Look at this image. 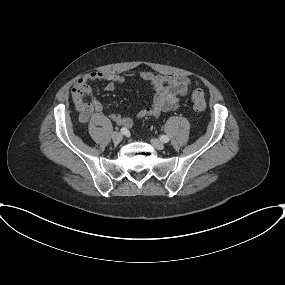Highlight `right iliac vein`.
I'll return each mask as SVG.
<instances>
[{
	"label": "right iliac vein",
	"instance_id": "obj_1",
	"mask_svg": "<svg viewBox=\"0 0 285 285\" xmlns=\"http://www.w3.org/2000/svg\"><path fill=\"white\" fill-rule=\"evenodd\" d=\"M123 139V135L119 132L112 133V140L114 143H120Z\"/></svg>",
	"mask_w": 285,
	"mask_h": 285
}]
</instances>
